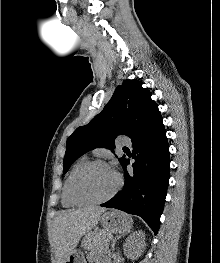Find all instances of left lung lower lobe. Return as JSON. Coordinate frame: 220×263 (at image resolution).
Masks as SVG:
<instances>
[{
  "label": "left lung lower lobe",
  "instance_id": "1",
  "mask_svg": "<svg viewBox=\"0 0 220 263\" xmlns=\"http://www.w3.org/2000/svg\"><path fill=\"white\" fill-rule=\"evenodd\" d=\"M132 146L133 171H127L128 159L121 164L125 172L123 190L100 206L138 215L157 234L170 170L169 145L162 117L133 140Z\"/></svg>",
  "mask_w": 220,
  "mask_h": 263
}]
</instances>
